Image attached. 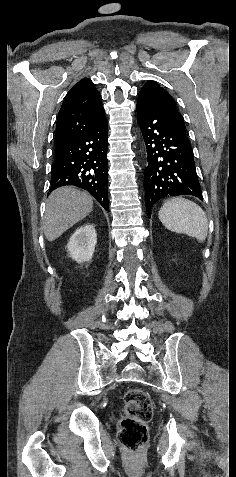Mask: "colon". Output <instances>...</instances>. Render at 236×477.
<instances>
[{
  "instance_id": "obj_1",
  "label": "colon",
  "mask_w": 236,
  "mask_h": 477,
  "mask_svg": "<svg viewBox=\"0 0 236 477\" xmlns=\"http://www.w3.org/2000/svg\"><path fill=\"white\" fill-rule=\"evenodd\" d=\"M154 412L149 395L140 388L129 389L124 396V417L119 423L118 439L129 453H141L148 438V422Z\"/></svg>"
}]
</instances>
